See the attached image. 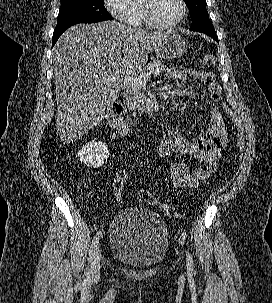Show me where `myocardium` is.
<instances>
[{"mask_svg": "<svg viewBox=\"0 0 272 303\" xmlns=\"http://www.w3.org/2000/svg\"><path fill=\"white\" fill-rule=\"evenodd\" d=\"M181 6V13L178 19L170 24L159 23L154 16V3L155 0H143V14L146 23L154 29L170 30L180 25L186 17L187 5L185 0H178Z\"/></svg>", "mask_w": 272, "mask_h": 303, "instance_id": "obj_1", "label": "myocardium"}]
</instances>
